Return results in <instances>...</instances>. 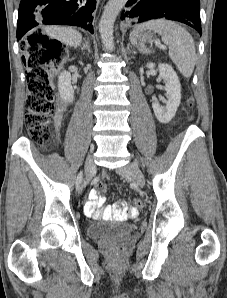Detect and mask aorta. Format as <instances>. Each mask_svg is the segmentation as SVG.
<instances>
[{"label": "aorta", "mask_w": 227, "mask_h": 298, "mask_svg": "<svg viewBox=\"0 0 227 298\" xmlns=\"http://www.w3.org/2000/svg\"><path fill=\"white\" fill-rule=\"evenodd\" d=\"M126 2L127 0H109L102 13L99 32L102 43L107 50H113L114 48V22Z\"/></svg>", "instance_id": "762f6f07"}]
</instances>
